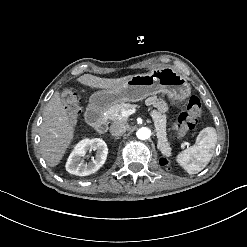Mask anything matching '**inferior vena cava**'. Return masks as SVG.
Masks as SVG:
<instances>
[{
    "label": "inferior vena cava",
    "instance_id": "inferior-vena-cava-1",
    "mask_svg": "<svg viewBox=\"0 0 247 247\" xmlns=\"http://www.w3.org/2000/svg\"><path fill=\"white\" fill-rule=\"evenodd\" d=\"M128 127L125 122H114L110 126V133L113 136H121L127 131Z\"/></svg>",
    "mask_w": 247,
    "mask_h": 247
}]
</instances>
